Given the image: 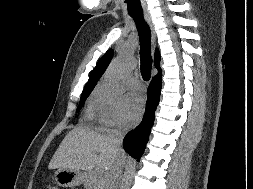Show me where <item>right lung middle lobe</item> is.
Returning a JSON list of instances; mask_svg holds the SVG:
<instances>
[{
  "instance_id": "right-lung-middle-lobe-1",
  "label": "right lung middle lobe",
  "mask_w": 253,
  "mask_h": 189,
  "mask_svg": "<svg viewBox=\"0 0 253 189\" xmlns=\"http://www.w3.org/2000/svg\"><path fill=\"white\" fill-rule=\"evenodd\" d=\"M92 90H86L83 91L82 96H81V100H80V104L78 107V111L81 109L82 105L84 104L85 99L90 95Z\"/></svg>"
}]
</instances>
